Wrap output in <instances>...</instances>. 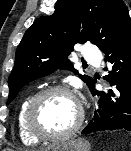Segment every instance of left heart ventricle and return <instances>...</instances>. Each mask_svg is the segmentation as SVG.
I'll use <instances>...</instances> for the list:
<instances>
[{"label": "left heart ventricle", "instance_id": "1", "mask_svg": "<svg viewBox=\"0 0 131 151\" xmlns=\"http://www.w3.org/2000/svg\"><path fill=\"white\" fill-rule=\"evenodd\" d=\"M77 118V106L72 98L63 93L45 97L37 107L35 124L46 134H60L69 129Z\"/></svg>", "mask_w": 131, "mask_h": 151}]
</instances>
